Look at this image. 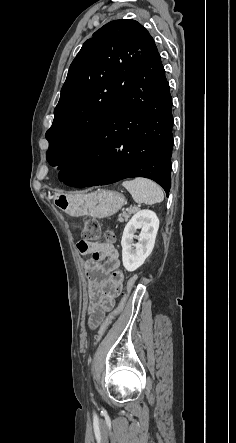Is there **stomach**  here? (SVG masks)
<instances>
[{"label":"stomach","mask_w":236,"mask_h":443,"mask_svg":"<svg viewBox=\"0 0 236 443\" xmlns=\"http://www.w3.org/2000/svg\"><path fill=\"white\" fill-rule=\"evenodd\" d=\"M125 198L115 191L98 189L88 194H58L55 205L70 215H90L106 218L122 208Z\"/></svg>","instance_id":"stomach-1"}]
</instances>
